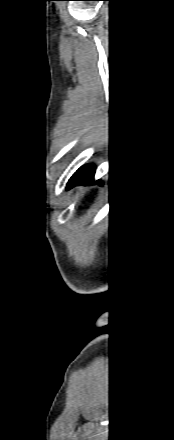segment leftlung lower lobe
<instances>
[{"mask_svg":"<svg viewBox=\"0 0 174 440\" xmlns=\"http://www.w3.org/2000/svg\"><path fill=\"white\" fill-rule=\"evenodd\" d=\"M95 173V167L93 165H86L79 168L68 182V188L76 184L92 183Z\"/></svg>","mask_w":174,"mask_h":440,"instance_id":"0a47b994","label":"left lung lower lobe"}]
</instances>
